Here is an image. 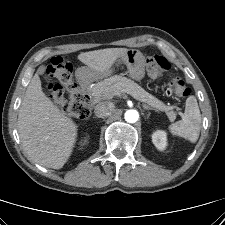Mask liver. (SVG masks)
Segmentation results:
<instances>
[{"mask_svg":"<svg viewBox=\"0 0 225 225\" xmlns=\"http://www.w3.org/2000/svg\"><path fill=\"white\" fill-rule=\"evenodd\" d=\"M126 48H107L78 55L98 73L107 72ZM77 125L42 90L36 73L27 87L18 114L19 136L30 160L48 168L61 169L77 141Z\"/></svg>","mask_w":225,"mask_h":225,"instance_id":"liver-1","label":"liver"}]
</instances>
